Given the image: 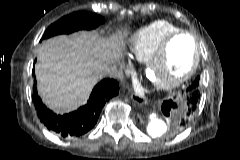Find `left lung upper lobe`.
Masks as SVG:
<instances>
[{"label": "left lung upper lobe", "instance_id": "left-lung-upper-lobe-1", "mask_svg": "<svg viewBox=\"0 0 240 160\" xmlns=\"http://www.w3.org/2000/svg\"><path fill=\"white\" fill-rule=\"evenodd\" d=\"M191 87H192V89H195V90H196V89H197V90L199 89V77L196 78V80L192 83ZM190 119H191V118H189L188 121H189ZM184 126H185L184 123H183V124H180V125H179V129H181V128L184 127Z\"/></svg>", "mask_w": 240, "mask_h": 160}]
</instances>
